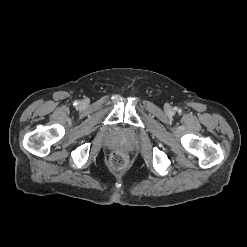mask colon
Returning <instances> with one entry per match:
<instances>
[{
	"mask_svg": "<svg viewBox=\"0 0 247 247\" xmlns=\"http://www.w3.org/2000/svg\"><path fill=\"white\" fill-rule=\"evenodd\" d=\"M110 164L116 170H120V169L124 168V166L126 164L125 156L120 152L112 153V155L110 157Z\"/></svg>",
	"mask_w": 247,
	"mask_h": 247,
	"instance_id": "1",
	"label": "colon"
}]
</instances>
